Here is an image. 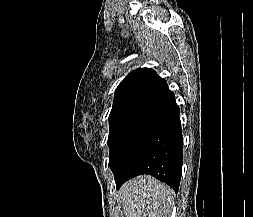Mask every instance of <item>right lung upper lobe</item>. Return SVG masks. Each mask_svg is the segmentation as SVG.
I'll return each instance as SVG.
<instances>
[{"label":"right lung upper lobe","mask_w":253,"mask_h":217,"mask_svg":"<svg viewBox=\"0 0 253 217\" xmlns=\"http://www.w3.org/2000/svg\"><path fill=\"white\" fill-rule=\"evenodd\" d=\"M166 81L150 68H138L129 73L115 91L114 105L128 101L153 102L166 91Z\"/></svg>","instance_id":"obj_1"}]
</instances>
